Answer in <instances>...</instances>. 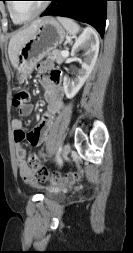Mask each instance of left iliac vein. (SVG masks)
Instances as JSON below:
<instances>
[{"mask_svg": "<svg viewBox=\"0 0 133 253\" xmlns=\"http://www.w3.org/2000/svg\"><path fill=\"white\" fill-rule=\"evenodd\" d=\"M70 150H71L70 144H66V145L63 147V150H62V157H63V158H66V157L69 155Z\"/></svg>", "mask_w": 133, "mask_h": 253, "instance_id": "left-iliac-vein-1", "label": "left iliac vein"}]
</instances>
